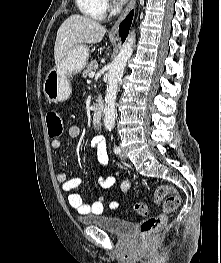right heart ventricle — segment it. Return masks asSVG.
Listing matches in <instances>:
<instances>
[{
	"label": "right heart ventricle",
	"mask_w": 221,
	"mask_h": 263,
	"mask_svg": "<svg viewBox=\"0 0 221 263\" xmlns=\"http://www.w3.org/2000/svg\"><path fill=\"white\" fill-rule=\"evenodd\" d=\"M80 12L88 18L103 20L106 13L104 0H76Z\"/></svg>",
	"instance_id": "right-heart-ventricle-1"
}]
</instances>
